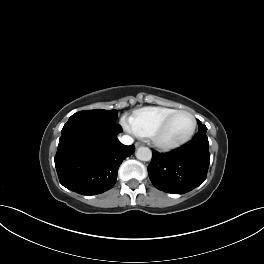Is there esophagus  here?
<instances>
[{
    "mask_svg": "<svg viewBox=\"0 0 264 264\" xmlns=\"http://www.w3.org/2000/svg\"><path fill=\"white\" fill-rule=\"evenodd\" d=\"M139 146H141V143H136V147H139Z\"/></svg>",
    "mask_w": 264,
    "mask_h": 264,
    "instance_id": "obj_1",
    "label": "esophagus"
}]
</instances>
